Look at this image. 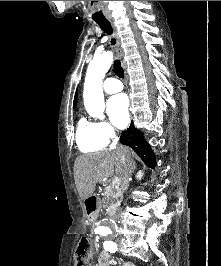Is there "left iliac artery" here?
Segmentation results:
<instances>
[{"label": "left iliac artery", "mask_w": 221, "mask_h": 266, "mask_svg": "<svg viewBox=\"0 0 221 266\" xmlns=\"http://www.w3.org/2000/svg\"><path fill=\"white\" fill-rule=\"evenodd\" d=\"M96 233L104 236L108 234L107 232H96ZM103 246L105 250L111 253H115L117 251V245L113 241H105L103 243Z\"/></svg>", "instance_id": "obj_1"}]
</instances>
